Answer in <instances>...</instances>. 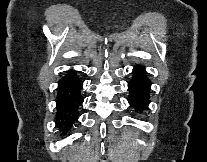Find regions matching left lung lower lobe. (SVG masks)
<instances>
[{
    "label": "left lung lower lobe",
    "mask_w": 207,
    "mask_h": 162,
    "mask_svg": "<svg viewBox=\"0 0 207 162\" xmlns=\"http://www.w3.org/2000/svg\"><path fill=\"white\" fill-rule=\"evenodd\" d=\"M150 80L146 77L143 67L136 66L133 70V78L128 83L130 91L129 103L137 111L145 109L149 104Z\"/></svg>",
    "instance_id": "left-lung-lower-lobe-1"
}]
</instances>
